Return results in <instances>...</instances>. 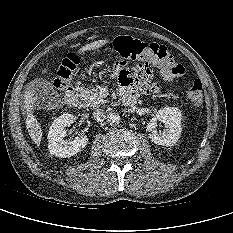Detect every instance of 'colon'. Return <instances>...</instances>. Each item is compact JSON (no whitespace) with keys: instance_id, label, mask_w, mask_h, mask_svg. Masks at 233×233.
<instances>
[{"instance_id":"colon-1","label":"colon","mask_w":233,"mask_h":233,"mask_svg":"<svg viewBox=\"0 0 233 233\" xmlns=\"http://www.w3.org/2000/svg\"><path fill=\"white\" fill-rule=\"evenodd\" d=\"M110 49L118 53L122 60L135 58L139 61H153L158 65L160 74L165 80H174L185 74V67L177 62L163 45L144 42L130 36H121L110 44ZM79 63L80 57L77 54L67 55L55 75L54 84L57 88H65L71 82ZM188 98L195 106L201 105L203 84L199 79L192 82Z\"/></svg>"}]
</instances>
